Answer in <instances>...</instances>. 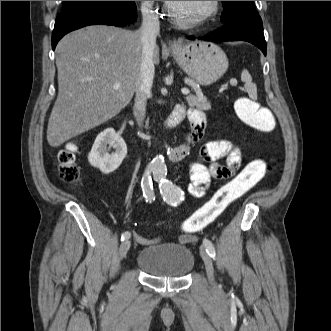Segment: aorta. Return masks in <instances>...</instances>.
<instances>
[{
    "mask_svg": "<svg viewBox=\"0 0 331 331\" xmlns=\"http://www.w3.org/2000/svg\"><path fill=\"white\" fill-rule=\"evenodd\" d=\"M150 168L153 171L155 178H164L167 168L165 165L164 157L162 155H157L151 162Z\"/></svg>",
    "mask_w": 331,
    "mask_h": 331,
    "instance_id": "aorta-1",
    "label": "aorta"
}]
</instances>
